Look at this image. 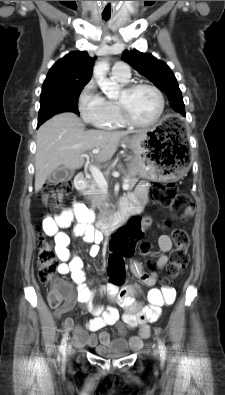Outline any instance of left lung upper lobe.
<instances>
[{"label": "left lung upper lobe", "mask_w": 225, "mask_h": 395, "mask_svg": "<svg viewBox=\"0 0 225 395\" xmlns=\"http://www.w3.org/2000/svg\"><path fill=\"white\" fill-rule=\"evenodd\" d=\"M122 59L162 90L168 97L173 110L185 115L181 91L174 74L166 63L149 53H142L136 49L125 50L122 53Z\"/></svg>", "instance_id": "left-lung-upper-lobe-1"}]
</instances>
